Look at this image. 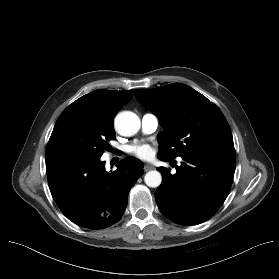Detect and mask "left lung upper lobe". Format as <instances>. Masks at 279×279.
<instances>
[{
	"label": "left lung upper lobe",
	"instance_id": "obj_1",
	"mask_svg": "<svg viewBox=\"0 0 279 279\" xmlns=\"http://www.w3.org/2000/svg\"><path fill=\"white\" fill-rule=\"evenodd\" d=\"M137 100L160 120L158 158L197 152L235 153L229 124L221 110L191 87L173 83L135 92Z\"/></svg>",
	"mask_w": 279,
	"mask_h": 279
}]
</instances>
